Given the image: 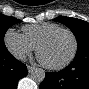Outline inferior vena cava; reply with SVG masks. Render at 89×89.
Wrapping results in <instances>:
<instances>
[{
  "mask_svg": "<svg viewBox=\"0 0 89 89\" xmlns=\"http://www.w3.org/2000/svg\"><path fill=\"white\" fill-rule=\"evenodd\" d=\"M21 61H25V56L24 55H19L18 57Z\"/></svg>",
  "mask_w": 89,
  "mask_h": 89,
  "instance_id": "1",
  "label": "inferior vena cava"
}]
</instances>
